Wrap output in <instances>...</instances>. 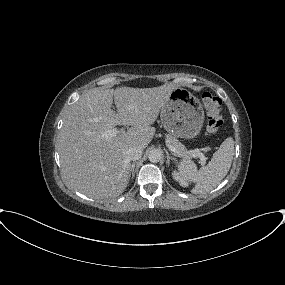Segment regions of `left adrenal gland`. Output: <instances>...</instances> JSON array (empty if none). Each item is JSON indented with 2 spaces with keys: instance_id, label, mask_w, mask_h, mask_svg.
<instances>
[{
  "instance_id": "obj_1",
  "label": "left adrenal gland",
  "mask_w": 285,
  "mask_h": 285,
  "mask_svg": "<svg viewBox=\"0 0 285 285\" xmlns=\"http://www.w3.org/2000/svg\"><path fill=\"white\" fill-rule=\"evenodd\" d=\"M166 158H167L166 164H167L168 166H169V164H170V160H174V161H175V158L172 157V156H170L169 153H168V151H166Z\"/></svg>"
}]
</instances>
